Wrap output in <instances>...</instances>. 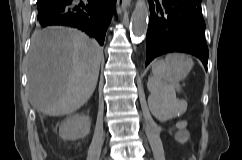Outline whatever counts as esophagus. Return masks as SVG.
<instances>
[{
	"mask_svg": "<svg viewBox=\"0 0 242 160\" xmlns=\"http://www.w3.org/2000/svg\"><path fill=\"white\" fill-rule=\"evenodd\" d=\"M130 6V0H117V11L119 14L126 11Z\"/></svg>",
	"mask_w": 242,
	"mask_h": 160,
	"instance_id": "esophagus-1",
	"label": "esophagus"
}]
</instances>
